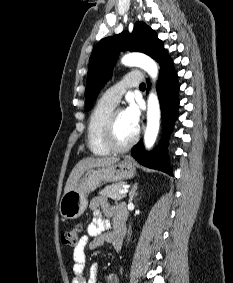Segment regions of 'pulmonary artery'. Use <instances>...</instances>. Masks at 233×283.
I'll list each match as a JSON object with an SVG mask.
<instances>
[{"label":"pulmonary artery","instance_id":"e3ab8cb5","mask_svg":"<svg viewBox=\"0 0 233 283\" xmlns=\"http://www.w3.org/2000/svg\"><path fill=\"white\" fill-rule=\"evenodd\" d=\"M142 83V75L139 72L128 73L121 82L106 90L101 100L117 105L126 89L130 87H137Z\"/></svg>","mask_w":233,"mask_h":283}]
</instances>
